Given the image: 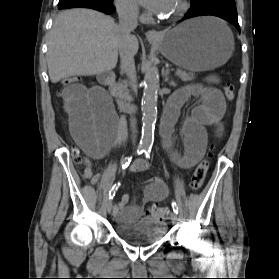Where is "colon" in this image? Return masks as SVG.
Listing matches in <instances>:
<instances>
[{
	"instance_id": "5ec220e1",
	"label": "colon",
	"mask_w": 279,
	"mask_h": 279,
	"mask_svg": "<svg viewBox=\"0 0 279 279\" xmlns=\"http://www.w3.org/2000/svg\"><path fill=\"white\" fill-rule=\"evenodd\" d=\"M79 77H71L65 78L60 82V85L64 87H68L73 84H77L79 82ZM224 93L228 100H232L235 96L234 86L232 84H226L224 87ZM211 156V152H208L207 155L196 165L192 177H191V188L194 191H198L202 188L205 177L209 170V158ZM73 158L74 163L79 167H88L89 161L88 159L82 155L77 149L73 150ZM147 212L150 216L163 220L169 217V210L163 207H159L157 205L149 206Z\"/></svg>"
}]
</instances>
